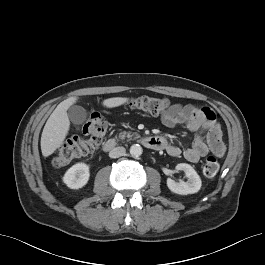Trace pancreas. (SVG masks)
Here are the masks:
<instances>
[{
	"label": "pancreas",
	"mask_w": 265,
	"mask_h": 265,
	"mask_svg": "<svg viewBox=\"0 0 265 265\" xmlns=\"http://www.w3.org/2000/svg\"><path fill=\"white\" fill-rule=\"evenodd\" d=\"M133 136H134V139H137L139 137V134H137V133L131 134L130 132L124 131V132H121L119 134V139L123 140V139L127 138L128 140H131Z\"/></svg>",
	"instance_id": "pancreas-1"
}]
</instances>
